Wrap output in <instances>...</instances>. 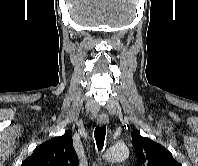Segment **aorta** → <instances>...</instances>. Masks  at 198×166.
Returning a JSON list of instances; mask_svg holds the SVG:
<instances>
[{
	"label": "aorta",
	"instance_id": "1",
	"mask_svg": "<svg viewBox=\"0 0 198 166\" xmlns=\"http://www.w3.org/2000/svg\"><path fill=\"white\" fill-rule=\"evenodd\" d=\"M129 157V149L124 145H115L109 148L104 158L108 161H122Z\"/></svg>",
	"mask_w": 198,
	"mask_h": 166
}]
</instances>
